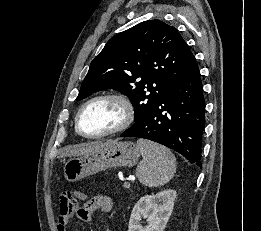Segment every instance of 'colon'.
I'll return each instance as SVG.
<instances>
[{"mask_svg":"<svg viewBox=\"0 0 261 231\" xmlns=\"http://www.w3.org/2000/svg\"><path fill=\"white\" fill-rule=\"evenodd\" d=\"M80 199L79 192L67 191L62 193L60 197L59 215L71 218L77 210Z\"/></svg>","mask_w":261,"mask_h":231,"instance_id":"1","label":"colon"}]
</instances>
